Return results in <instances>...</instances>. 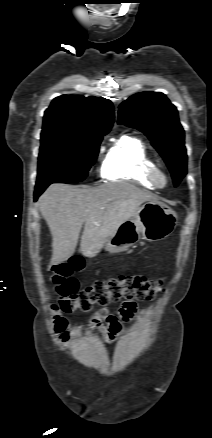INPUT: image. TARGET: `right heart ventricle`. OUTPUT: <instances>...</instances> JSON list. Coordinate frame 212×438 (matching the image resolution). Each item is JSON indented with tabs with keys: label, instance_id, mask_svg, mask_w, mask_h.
I'll list each match as a JSON object with an SVG mask.
<instances>
[{
	"label": "right heart ventricle",
	"instance_id": "right-heart-ventricle-1",
	"mask_svg": "<svg viewBox=\"0 0 212 438\" xmlns=\"http://www.w3.org/2000/svg\"><path fill=\"white\" fill-rule=\"evenodd\" d=\"M155 161L145 143L138 137L123 136L108 149L102 175L111 181H130L144 188L154 190L146 173Z\"/></svg>",
	"mask_w": 212,
	"mask_h": 438
}]
</instances>
